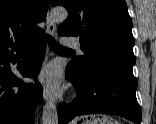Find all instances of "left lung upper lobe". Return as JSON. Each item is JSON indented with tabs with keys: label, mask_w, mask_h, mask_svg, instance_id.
I'll return each instance as SVG.
<instances>
[{
	"label": "left lung upper lobe",
	"mask_w": 156,
	"mask_h": 124,
	"mask_svg": "<svg viewBox=\"0 0 156 124\" xmlns=\"http://www.w3.org/2000/svg\"><path fill=\"white\" fill-rule=\"evenodd\" d=\"M50 3L68 11L58 33L80 38L84 55L67 65L75 75H90L108 67L133 75L136 59L132 21L124 0H50Z\"/></svg>",
	"instance_id": "5c2ea615"
}]
</instances>
